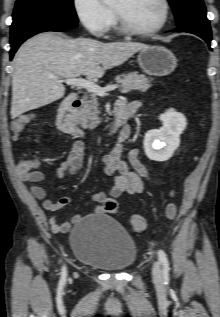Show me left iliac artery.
<instances>
[{"label": "left iliac artery", "instance_id": "44dca946", "mask_svg": "<svg viewBox=\"0 0 220 317\" xmlns=\"http://www.w3.org/2000/svg\"><path fill=\"white\" fill-rule=\"evenodd\" d=\"M158 258H159L160 263L163 266V275H164L165 278H167L170 268H169V262H168V259H167V254L165 253L164 250L160 249L158 251Z\"/></svg>", "mask_w": 220, "mask_h": 317}]
</instances>
